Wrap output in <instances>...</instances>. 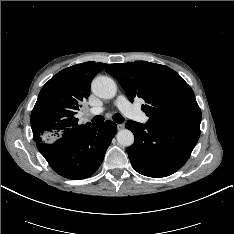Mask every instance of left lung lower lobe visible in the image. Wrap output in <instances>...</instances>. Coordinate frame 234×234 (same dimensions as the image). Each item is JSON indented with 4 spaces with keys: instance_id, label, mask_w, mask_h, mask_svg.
<instances>
[{
    "instance_id": "0a47b994",
    "label": "left lung lower lobe",
    "mask_w": 234,
    "mask_h": 234,
    "mask_svg": "<svg viewBox=\"0 0 234 234\" xmlns=\"http://www.w3.org/2000/svg\"><path fill=\"white\" fill-rule=\"evenodd\" d=\"M135 136L127 148L133 168L148 177H165L180 169L190 157L199 136V124H151L127 121Z\"/></svg>"
}]
</instances>
